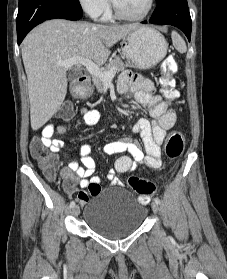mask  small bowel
Listing matches in <instances>:
<instances>
[{
    "label": "small bowel",
    "instance_id": "obj_1",
    "mask_svg": "<svg viewBox=\"0 0 227 279\" xmlns=\"http://www.w3.org/2000/svg\"><path fill=\"white\" fill-rule=\"evenodd\" d=\"M118 90L121 100L126 101L134 97L138 104L146 107L152 120L142 118L131 127L133 132L140 135L146 154L130 138L110 142L104 146V152L109 155L123 151L128 152L127 156L119 157L115 161L113 168L107 174V179L115 184L119 183L118 173L131 172L136 168L137 164H144L151 169L161 167L160 146L165 140L167 131L176 122V112L167 110V102L161 96L155 94V88L149 80L141 79L133 73H124L119 78ZM80 114L83 123L87 126L96 125L100 120V114L95 109L82 108ZM66 131L63 123L49 121L42 130L44 146L49 148L53 154H57L64 146V141L53 138V135H63ZM80 162L82 166L78 161L69 160L65 162L61 169V175L66 180L67 193H73L72 189H70V185L73 182H78L81 188L90 187L91 184L96 183L99 185L100 190V178L94 175L97 164L91 154L90 145L84 144L81 147ZM78 202L84 206L88 202V197H78Z\"/></svg>",
    "mask_w": 227,
    "mask_h": 279
}]
</instances>
